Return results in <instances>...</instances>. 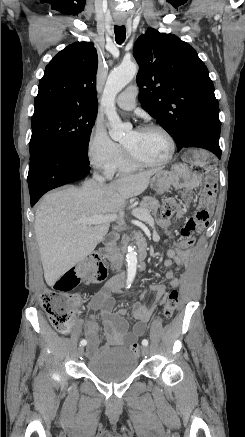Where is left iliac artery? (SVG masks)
Segmentation results:
<instances>
[{
	"instance_id": "44dca946",
	"label": "left iliac artery",
	"mask_w": 245,
	"mask_h": 437,
	"mask_svg": "<svg viewBox=\"0 0 245 437\" xmlns=\"http://www.w3.org/2000/svg\"><path fill=\"white\" fill-rule=\"evenodd\" d=\"M142 345L143 346H147L148 345V340H146V339L142 340Z\"/></svg>"
}]
</instances>
